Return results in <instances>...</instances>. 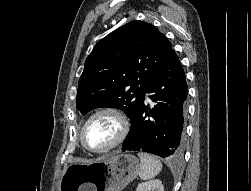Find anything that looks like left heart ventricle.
I'll use <instances>...</instances> for the list:
<instances>
[{"label": "left heart ventricle", "instance_id": "b2bd125f", "mask_svg": "<svg viewBox=\"0 0 251 191\" xmlns=\"http://www.w3.org/2000/svg\"><path fill=\"white\" fill-rule=\"evenodd\" d=\"M119 133L116 119L110 114L93 117L82 133L83 145L90 151L100 152L109 147Z\"/></svg>", "mask_w": 251, "mask_h": 191}]
</instances>
